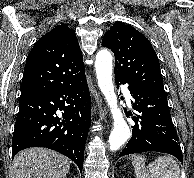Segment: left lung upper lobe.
Instances as JSON below:
<instances>
[{
    "instance_id": "left-lung-upper-lobe-1",
    "label": "left lung upper lobe",
    "mask_w": 194,
    "mask_h": 178,
    "mask_svg": "<svg viewBox=\"0 0 194 178\" xmlns=\"http://www.w3.org/2000/svg\"><path fill=\"white\" fill-rule=\"evenodd\" d=\"M102 45L115 55V80L165 92L157 54L142 33L116 22L105 33Z\"/></svg>"
}]
</instances>
